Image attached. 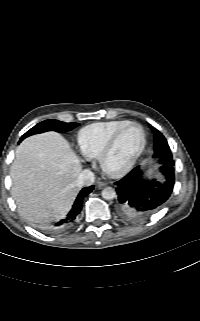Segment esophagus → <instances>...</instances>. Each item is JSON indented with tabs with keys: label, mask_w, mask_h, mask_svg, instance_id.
I'll return each mask as SVG.
<instances>
[{
	"label": "esophagus",
	"mask_w": 200,
	"mask_h": 321,
	"mask_svg": "<svg viewBox=\"0 0 200 321\" xmlns=\"http://www.w3.org/2000/svg\"><path fill=\"white\" fill-rule=\"evenodd\" d=\"M96 186H97L98 189H102V188H104V187L106 186V183H104V182H97Z\"/></svg>",
	"instance_id": "34e87169"
}]
</instances>
